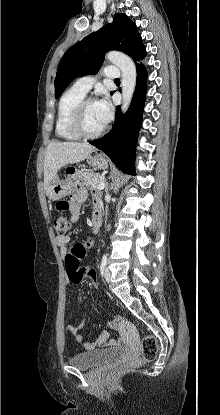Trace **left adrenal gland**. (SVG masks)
I'll use <instances>...</instances> for the list:
<instances>
[{
  "label": "left adrenal gland",
  "mask_w": 220,
  "mask_h": 415,
  "mask_svg": "<svg viewBox=\"0 0 220 415\" xmlns=\"http://www.w3.org/2000/svg\"><path fill=\"white\" fill-rule=\"evenodd\" d=\"M108 191V187L106 188V192Z\"/></svg>",
  "instance_id": "1"
}]
</instances>
